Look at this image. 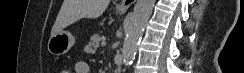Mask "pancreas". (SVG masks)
Here are the masks:
<instances>
[{"instance_id":"cf45deb5","label":"pancreas","mask_w":244,"mask_h":73,"mask_svg":"<svg viewBox=\"0 0 244 73\" xmlns=\"http://www.w3.org/2000/svg\"><path fill=\"white\" fill-rule=\"evenodd\" d=\"M102 38L99 35H93L90 38V42L85 46L84 51L86 53H94L100 46V41Z\"/></svg>"}]
</instances>
